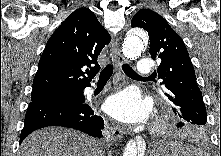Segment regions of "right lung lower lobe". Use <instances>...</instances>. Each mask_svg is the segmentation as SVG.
<instances>
[{
  "label": "right lung lower lobe",
  "instance_id": "obj_1",
  "mask_svg": "<svg viewBox=\"0 0 221 156\" xmlns=\"http://www.w3.org/2000/svg\"><path fill=\"white\" fill-rule=\"evenodd\" d=\"M47 126L69 127L102 137L104 120L95 113L94 103L32 101L26 112L20 143L31 132Z\"/></svg>",
  "mask_w": 221,
  "mask_h": 156
}]
</instances>
